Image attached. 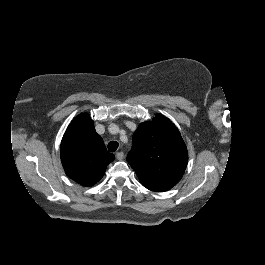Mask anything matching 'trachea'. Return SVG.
<instances>
[{"mask_svg": "<svg viewBox=\"0 0 265 265\" xmlns=\"http://www.w3.org/2000/svg\"><path fill=\"white\" fill-rule=\"evenodd\" d=\"M118 146H119V144L116 141H111L108 144V150L110 152H115L117 150Z\"/></svg>", "mask_w": 265, "mask_h": 265, "instance_id": "trachea-1", "label": "trachea"}]
</instances>
